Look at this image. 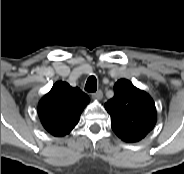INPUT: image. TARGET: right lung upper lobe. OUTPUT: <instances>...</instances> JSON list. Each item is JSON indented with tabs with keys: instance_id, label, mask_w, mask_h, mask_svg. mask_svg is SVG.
Here are the masks:
<instances>
[{
	"instance_id": "right-lung-upper-lobe-1",
	"label": "right lung upper lobe",
	"mask_w": 184,
	"mask_h": 174,
	"mask_svg": "<svg viewBox=\"0 0 184 174\" xmlns=\"http://www.w3.org/2000/svg\"><path fill=\"white\" fill-rule=\"evenodd\" d=\"M89 101V97L79 88L58 81L40 100L38 115L50 134L61 137L70 133L76 126Z\"/></svg>"
}]
</instances>
